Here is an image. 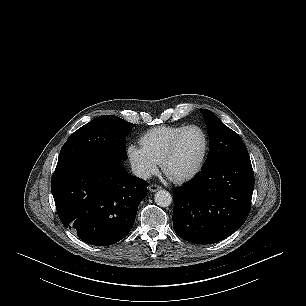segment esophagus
Segmentation results:
<instances>
[{"label": "esophagus", "mask_w": 306, "mask_h": 306, "mask_svg": "<svg viewBox=\"0 0 306 306\" xmlns=\"http://www.w3.org/2000/svg\"><path fill=\"white\" fill-rule=\"evenodd\" d=\"M162 187L156 184H151L149 185V190L150 192H156L158 190H160Z\"/></svg>", "instance_id": "1"}]
</instances>
